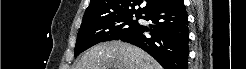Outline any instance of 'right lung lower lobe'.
<instances>
[{"instance_id": "obj_1", "label": "right lung lower lobe", "mask_w": 246, "mask_h": 69, "mask_svg": "<svg viewBox=\"0 0 246 69\" xmlns=\"http://www.w3.org/2000/svg\"><path fill=\"white\" fill-rule=\"evenodd\" d=\"M143 14L142 19L152 21L150 29L139 25L119 40L144 49L165 69H187L189 33L183 0H165Z\"/></svg>"}]
</instances>
